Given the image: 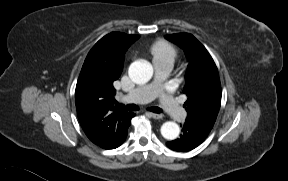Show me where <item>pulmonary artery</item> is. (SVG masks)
Returning a JSON list of instances; mask_svg holds the SVG:
<instances>
[{
    "label": "pulmonary artery",
    "instance_id": "obj_1",
    "mask_svg": "<svg viewBox=\"0 0 288 181\" xmlns=\"http://www.w3.org/2000/svg\"><path fill=\"white\" fill-rule=\"evenodd\" d=\"M155 75L153 80L142 87L130 91L126 98L134 103H145L153 98H159L161 108L173 119L182 120L186 113L178 102L166 91L164 80L171 72L173 63L169 60L153 61Z\"/></svg>",
    "mask_w": 288,
    "mask_h": 181
}]
</instances>
